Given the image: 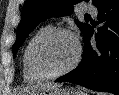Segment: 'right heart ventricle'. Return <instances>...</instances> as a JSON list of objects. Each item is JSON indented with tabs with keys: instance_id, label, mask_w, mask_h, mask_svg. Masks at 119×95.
Listing matches in <instances>:
<instances>
[{
	"instance_id": "right-heart-ventricle-1",
	"label": "right heart ventricle",
	"mask_w": 119,
	"mask_h": 95,
	"mask_svg": "<svg viewBox=\"0 0 119 95\" xmlns=\"http://www.w3.org/2000/svg\"><path fill=\"white\" fill-rule=\"evenodd\" d=\"M50 29H52V26L49 24L40 27L31 36V38L29 39V41L27 42V44L24 47V50L22 53V73H23L24 80L27 82H38V81H42L45 79L42 76H40L39 74H37L35 72V70L33 69L32 65H31V61H30V55H31L32 47H33L34 43L36 42V40L42 34L49 31Z\"/></svg>"
}]
</instances>
